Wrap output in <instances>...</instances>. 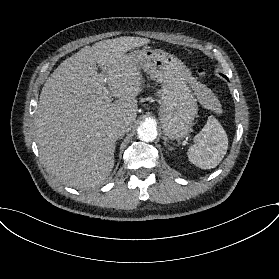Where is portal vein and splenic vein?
<instances>
[{
    "label": "portal vein and splenic vein",
    "instance_id": "1",
    "mask_svg": "<svg viewBox=\"0 0 279 279\" xmlns=\"http://www.w3.org/2000/svg\"><path fill=\"white\" fill-rule=\"evenodd\" d=\"M102 92H103V94H104L105 97L109 98L110 93H109V90H108V88H107L106 85H103V86H102Z\"/></svg>",
    "mask_w": 279,
    "mask_h": 279
}]
</instances>
